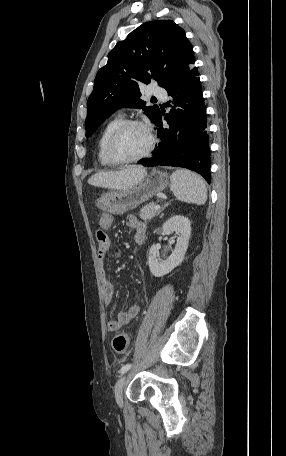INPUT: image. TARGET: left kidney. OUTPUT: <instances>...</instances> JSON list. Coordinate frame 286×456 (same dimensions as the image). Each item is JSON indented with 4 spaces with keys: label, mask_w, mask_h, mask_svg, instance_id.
<instances>
[{
    "label": "left kidney",
    "mask_w": 286,
    "mask_h": 456,
    "mask_svg": "<svg viewBox=\"0 0 286 456\" xmlns=\"http://www.w3.org/2000/svg\"><path fill=\"white\" fill-rule=\"evenodd\" d=\"M190 225L189 219L182 215H175L164 223L162 233L164 235L175 233L177 235V243L171 255L165 260L160 258L158 248L155 245L151 246L148 264L153 276L162 277L182 263L191 234Z\"/></svg>",
    "instance_id": "left-kidney-1"
}]
</instances>
